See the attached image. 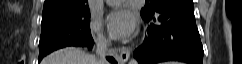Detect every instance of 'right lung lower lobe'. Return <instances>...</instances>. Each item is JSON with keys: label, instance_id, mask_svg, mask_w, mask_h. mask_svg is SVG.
<instances>
[{"label": "right lung lower lobe", "instance_id": "98d812e1", "mask_svg": "<svg viewBox=\"0 0 242 64\" xmlns=\"http://www.w3.org/2000/svg\"><path fill=\"white\" fill-rule=\"evenodd\" d=\"M93 44H94V41L92 39L91 42L87 43V44H83V45H80L81 47H87L88 49H91L93 47ZM107 60L109 62H111L112 64H117V62L115 61V59L113 57H106ZM42 59H39V61H41Z\"/></svg>", "mask_w": 242, "mask_h": 64}]
</instances>
